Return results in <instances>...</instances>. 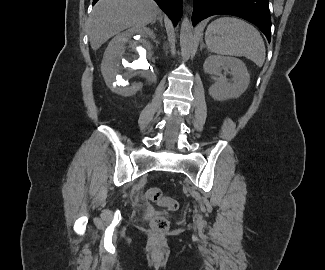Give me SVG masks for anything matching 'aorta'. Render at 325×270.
I'll return each mask as SVG.
<instances>
[{"instance_id":"aorta-1","label":"aorta","mask_w":325,"mask_h":270,"mask_svg":"<svg viewBox=\"0 0 325 270\" xmlns=\"http://www.w3.org/2000/svg\"><path fill=\"white\" fill-rule=\"evenodd\" d=\"M181 53L185 59L190 57L193 47L192 24L187 16H184L180 30Z\"/></svg>"}]
</instances>
